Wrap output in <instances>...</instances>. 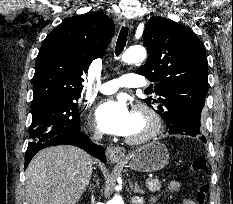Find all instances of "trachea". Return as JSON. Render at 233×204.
<instances>
[{
    "instance_id": "3493384b",
    "label": "trachea",
    "mask_w": 233,
    "mask_h": 204,
    "mask_svg": "<svg viewBox=\"0 0 233 204\" xmlns=\"http://www.w3.org/2000/svg\"><path fill=\"white\" fill-rule=\"evenodd\" d=\"M127 37H128V27L123 26L120 30L115 48V53L117 56L120 55V53L123 51L127 42Z\"/></svg>"
}]
</instances>
